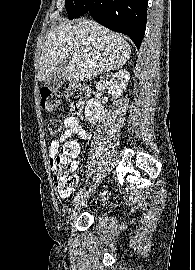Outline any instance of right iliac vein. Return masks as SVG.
Segmentation results:
<instances>
[{"label":"right iliac vein","instance_id":"right-iliac-vein-1","mask_svg":"<svg viewBox=\"0 0 195 270\" xmlns=\"http://www.w3.org/2000/svg\"><path fill=\"white\" fill-rule=\"evenodd\" d=\"M95 187H96V184L92 188H90V190L84 196H82L80 199H78L75 202V204L73 205V208L71 210L70 216H69L70 221L76 217L81 206L84 205V203H86L87 199L90 197V195L93 192Z\"/></svg>","mask_w":195,"mask_h":270}]
</instances>
